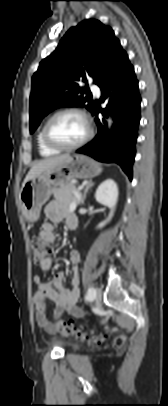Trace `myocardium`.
Instances as JSON below:
<instances>
[{
	"label": "myocardium",
	"mask_w": 168,
	"mask_h": 406,
	"mask_svg": "<svg viewBox=\"0 0 168 406\" xmlns=\"http://www.w3.org/2000/svg\"><path fill=\"white\" fill-rule=\"evenodd\" d=\"M65 113H76V114L80 115L83 118V120L85 121L86 129H87L85 135L78 142L73 143V144H69V145L59 144V143L53 141L52 138L49 135V127H50V124L52 123V121L56 117H58V116H60L62 114H65ZM92 135H93V127H92L90 118H89L88 114L84 110H82V109H80L78 107H65V108L59 109L58 111L53 113L48 118V120L45 122V124L43 126V129H42V137H43V140H44L45 144L48 147H50L52 149H56V150H73V149H77V148L83 146L92 137Z\"/></svg>",
	"instance_id": "f54148a6"
}]
</instances>
